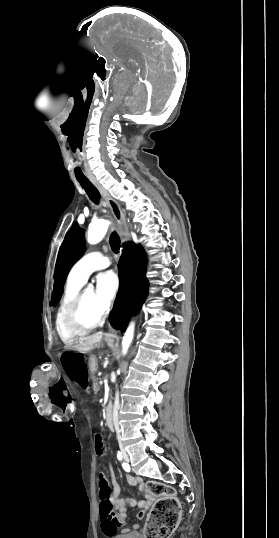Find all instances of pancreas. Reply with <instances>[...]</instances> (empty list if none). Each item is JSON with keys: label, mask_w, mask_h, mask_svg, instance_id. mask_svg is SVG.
Segmentation results:
<instances>
[{"label": "pancreas", "mask_w": 279, "mask_h": 538, "mask_svg": "<svg viewBox=\"0 0 279 538\" xmlns=\"http://www.w3.org/2000/svg\"><path fill=\"white\" fill-rule=\"evenodd\" d=\"M93 380H94V386H93L94 392H96V394H97L98 390H100L99 384H97L98 378H93Z\"/></svg>", "instance_id": "pancreas-1"}]
</instances>
